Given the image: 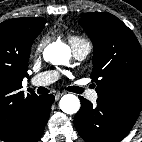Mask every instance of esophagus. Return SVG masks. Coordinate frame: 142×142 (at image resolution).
Here are the masks:
<instances>
[{"mask_svg": "<svg viewBox=\"0 0 142 142\" xmlns=\"http://www.w3.org/2000/svg\"><path fill=\"white\" fill-rule=\"evenodd\" d=\"M63 93H56L55 94V100L58 101L62 97Z\"/></svg>", "mask_w": 142, "mask_h": 142, "instance_id": "1", "label": "esophagus"}]
</instances>
